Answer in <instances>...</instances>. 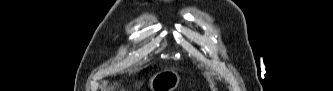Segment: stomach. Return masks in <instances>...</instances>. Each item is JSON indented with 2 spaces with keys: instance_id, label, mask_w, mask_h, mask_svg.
<instances>
[{
  "instance_id": "stomach-1",
  "label": "stomach",
  "mask_w": 333,
  "mask_h": 91,
  "mask_svg": "<svg viewBox=\"0 0 333 91\" xmlns=\"http://www.w3.org/2000/svg\"><path fill=\"white\" fill-rule=\"evenodd\" d=\"M180 83V76L173 69H165L154 74L149 82L151 91H174Z\"/></svg>"
}]
</instances>
